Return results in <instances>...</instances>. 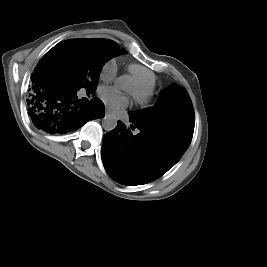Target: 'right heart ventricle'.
Listing matches in <instances>:
<instances>
[{"label":"right heart ventricle","mask_w":267,"mask_h":267,"mask_svg":"<svg viewBox=\"0 0 267 267\" xmlns=\"http://www.w3.org/2000/svg\"><path fill=\"white\" fill-rule=\"evenodd\" d=\"M128 71L136 85L143 88L149 94L152 92L156 84V76L150 69L137 64H131L128 66Z\"/></svg>","instance_id":"e07e8e85"}]
</instances>
